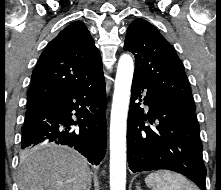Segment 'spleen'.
<instances>
[{"instance_id":"3e777b00","label":"spleen","mask_w":221,"mask_h":190,"mask_svg":"<svg viewBox=\"0 0 221 190\" xmlns=\"http://www.w3.org/2000/svg\"><path fill=\"white\" fill-rule=\"evenodd\" d=\"M145 183L152 190H199L182 175L163 170L150 173Z\"/></svg>"}]
</instances>
